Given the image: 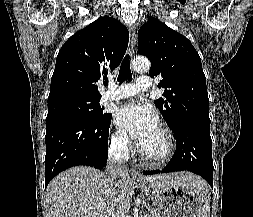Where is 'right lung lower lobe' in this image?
Segmentation results:
<instances>
[{"label": "right lung lower lobe", "mask_w": 253, "mask_h": 217, "mask_svg": "<svg viewBox=\"0 0 253 217\" xmlns=\"http://www.w3.org/2000/svg\"><path fill=\"white\" fill-rule=\"evenodd\" d=\"M69 117L46 123L45 187L61 171L77 165L101 169L108 158L111 123Z\"/></svg>", "instance_id": "98d812e1"}]
</instances>
